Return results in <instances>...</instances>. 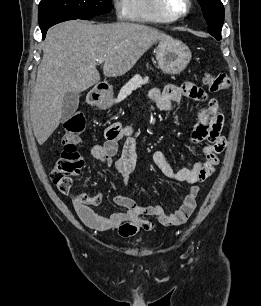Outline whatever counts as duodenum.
<instances>
[{"label":"duodenum","mask_w":261,"mask_h":306,"mask_svg":"<svg viewBox=\"0 0 261 306\" xmlns=\"http://www.w3.org/2000/svg\"><path fill=\"white\" fill-rule=\"evenodd\" d=\"M110 94V86L107 84L97 85L91 93L90 101L93 105L102 104Z\"/></svg>","instance_id":"410a0bca"}]
</instances>
